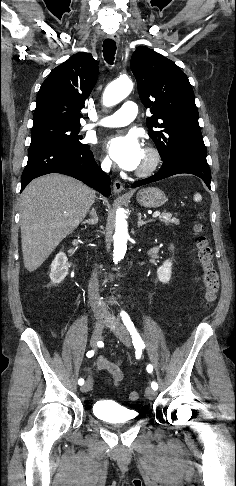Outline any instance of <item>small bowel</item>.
Listing matches in <instances>:
<instances>
[{"instance_id": "1", "label": "small bowel", "mask_w": 236, "mask_h": 486, "mask_svg": "<svg viewBox=\"0 0 236 486\" xmlns=\"http://www.w3.org/2000/svg\"><path fill=\"white\" fill-rule=\"evenodd\" d=\"M96 367L100 370L107 371L109 375V380L114 383L118 384L122 378L123 373L121 370V362H110L103 357H99L96 363ZM92 368H87L90 371Z\"/></svg>"}]
</instances>
